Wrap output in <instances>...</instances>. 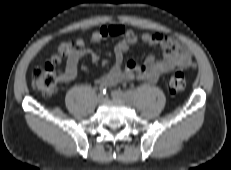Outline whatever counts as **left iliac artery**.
<instances>
[{"instance_id": "left-iliac-artery-1", "label": "left iliac artery", "mask_w": 231, "mask_h": 170, "mask_svg": "<svg viewBox=\"0 0 231 170\" xmlns=\"http://www.w3.org/2000/svg\"><path fill=\"white\" fill-rule=\"evenodd\" d=\"M125 94L127 97H132L134 95V91L133 90H127V91H125Z\"/></svg>"}]
</instances>
